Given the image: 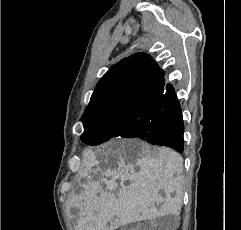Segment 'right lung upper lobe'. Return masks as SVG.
Here are the masks:
<instances>
[{
	"instance_id": "1",
	"label": "right lung upper lobe",
	"mask_w": 241,
	"mask_h": 230,
	"mask_svg": "<svg viewBox=\"0 0 241 230\" xmlns=\"http://www.w3.org/2000/svg\"><path fill=\"white\" fill-rule=\"evenodd\" d=\"M163 76L164 71L148 54L124 58L98 82L82 121H95L114 110H132L151 103L161 91Z\"/></svg>"
}]
</instances>
